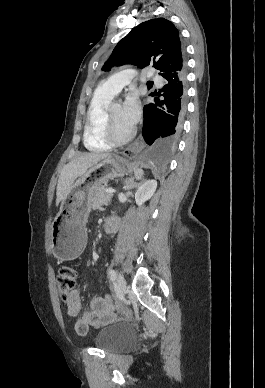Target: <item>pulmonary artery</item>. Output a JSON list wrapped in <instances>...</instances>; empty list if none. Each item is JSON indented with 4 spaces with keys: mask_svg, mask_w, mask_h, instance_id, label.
Listing matches in <instances>:
<instances>
[{
    "mask_svg": "<svg viewBox=\"0 0 265 388\" xmlns=\"http://www.w3.org/2000/svg\"><path fill=\"white\" fill-rule=\"evenodd\" d=\"M133 73L131 72H125ZM149 80L151 82H163L164 77L163 75H151L149 77ZM135 76L134 75H110L109 79H104L103 84L105 90H122L123 86H127L128 82H134Z\"/></svg>",
    "mask_w": 265,
    "mask_h": 388,
    "instance_id": "pulmonary-artery-1",
    "label": "pulmonary artery"
}]
</instances>
